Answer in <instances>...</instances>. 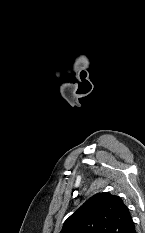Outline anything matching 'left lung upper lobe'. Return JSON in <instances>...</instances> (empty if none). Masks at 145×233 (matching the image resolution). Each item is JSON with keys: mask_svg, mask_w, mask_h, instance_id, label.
<instances>
[{"mask_svg": "<svg viewBox=\"0 0 145 233\" xmlns=\"http://www.w3.org/2000/svg\"><path fill=\"white\" fill-rule=\"evenodd\" d=\"M135 223L122 199L110 193L89 198L65 222L60 233H133Z\"/></svg>", "mask_w": 145, "mask_h": 233, "instance_id": "1", "label": "left lung upper lobe"}]
</instances>
